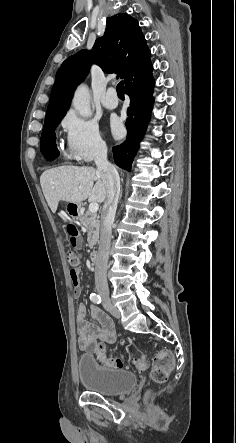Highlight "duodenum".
<instances>
[{
    "instance_id": "410a0bca",
    "label": "duodenum",
    "mask_w": 236,
    "mask_h": 443,
    "mask_svg": "<svg viewBox=\"0 0 236 443\" xmlns=\"http://www.w3.org/2000/svg\"><path fill=\"white\" fill-rule=\"evenodd\" d=\"M79 206H77V208H78ZM89 258H90V261L93 263V264H97V262H98V256H97V254L95 253V252H92L90 255H89Z\"/></svg>"
}]
</instances>
